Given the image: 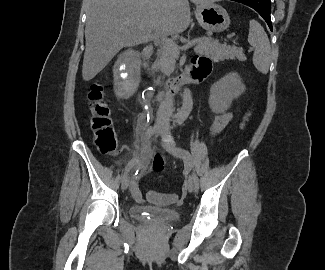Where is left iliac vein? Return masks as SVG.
Wrapping results in <instances>:
<instances>
[{"label":"left iliac vein","mask_w":325,"mask_h":270,"mask_svg":"<svg viewBox=\"0 0 325 270\" xmlns=\"http://www.w3.org/2000/svg\"><path fill=\"white\" fill-rule=\"evenodd\" d=\"M168 130H169L168 125H165L161 130L160 134L162 135L163 138L166 137ZM162 145L164 149H166L173 156L180 159H184L182 154L179 152L178 147L174 143L164 141ZM187 189L189 192H193L195 190V180L193 175H189L188 182H187Z\"/></svg>","instance_id":"4c4485c4"}]
</instances>
